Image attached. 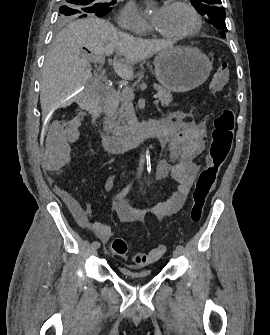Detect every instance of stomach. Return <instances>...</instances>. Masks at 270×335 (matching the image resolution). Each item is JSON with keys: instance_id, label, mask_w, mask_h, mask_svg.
Here are the masks:
<instances>
[{"instance_id": "obj_1", "label": "stomach", "mask_w": 270, "mask_h": 335, "mask_svg": "<svg viewBox=\"0 0 270 335\" xmlns=\"http://www.w3.org/2000/svg\"><path fill=\"white\" fill-rule=\"evenodd\" d=\"M156 78L169 92H190L206 82L212 62L199 50L190 46H176L158 52L154 58Z\"/></svg>"}]
</instances>
